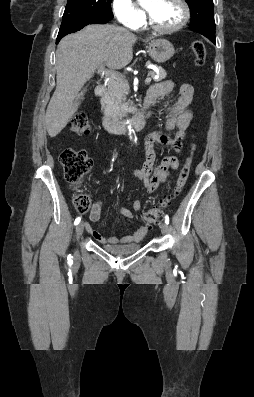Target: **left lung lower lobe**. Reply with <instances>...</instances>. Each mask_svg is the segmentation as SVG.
<instances>
[{
    "label": "left lung lower lobe",
    "mask_w": 254,
    "mask_h": 397,
    "mask_svg": "<svg viewBox=\"0 0 254 397\" xmlns=\"http://www.w3.org/2000/svg\"><path fill=\"white\" fill-rule=\"evenodd\" d=\"M190 29L194 32L200 33L207 37L210 41L216 44L215 40V28L206 26H190Z\"/></svg>",
    "instance_id": "obj_1"
}]
</instances>
